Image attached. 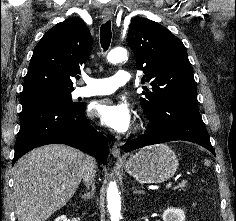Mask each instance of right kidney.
I'll list each match as a JSON object with an SVG mask.
<instances>
[{"label": "right kidney", "instance_id": "obj_1", "mask_svg": "<svg viewBox=\"0 0 236 221\" xmlns=\"http://www.w3.org/2000/svg\"><path fill=\"white\" fill-rule=\"evenodd\" d=\"M54 221H69L65 215L57 217Z\"/></svg>", "mask_w": 236, "mask_h": 221}]
</instances>
